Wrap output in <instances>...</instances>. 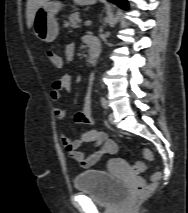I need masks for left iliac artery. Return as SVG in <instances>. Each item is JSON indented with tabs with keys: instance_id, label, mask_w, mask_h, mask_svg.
Here are the masks:
<instances>
[{
	"instance_id": "1",
	"label": "left iliac artery",
	"mask_w": 188,
	"mask_h": 213,
	"mask_svg": "<svg viewBox=\"0 0 188 213\" xmlns=\"http://www.w3.org/2000/svg\"><path fill=\"white\" fill-rule=\"evenodd\" d=\"M101 104L103 108L108 109V102L105 98H101Z\"/></svg>"
}]
</instances>
